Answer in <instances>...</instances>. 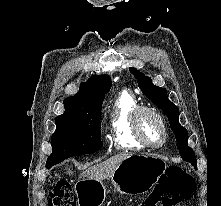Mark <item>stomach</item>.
<instances>
[{
	"instance_id": "obj_1",
	"label": "stomach",
	"mask_w": 221,
	"mask_h": 206,
	"mask_svg": "<svg viewBox=\"0 0 221 206\" xmlns=\"http://www.w3.org/2000/svg\"><path fill=\"white\" fill-rule=\"evenodd\" d=\"M166 162L154 155H130L110 176L114 188L122 194L146 193L157 184L166 170ZM103 181L82 179L77 184L79 206H101L107 194Z\"/></svg>"
}]
</instances>
